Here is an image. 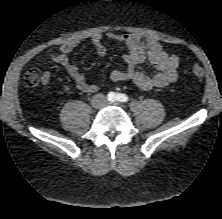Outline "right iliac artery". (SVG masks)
Wrapping results in <instances>:
<instances>
[{
	"label": "right iliac artery",
	"instance_id": "obj_1",
	"mask_svg": "<svg viewBox=\"0 0 222 219\" xmlns=\"http://www.w3.org/2000/svg\"><path fill=\"white\" fill-rule=\"evenodd\" d=\"M116 99V94L114 92H110L108 94V100L109 101H114Z\"/></svg>",
	"mask_w": 222,
	"mask_h": 219
}]
</instances>
